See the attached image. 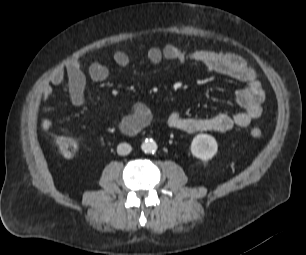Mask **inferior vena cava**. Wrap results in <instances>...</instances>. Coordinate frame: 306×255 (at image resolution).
Here are the masks:
<instances>
[{"label":"inferior vena cava","instance_id":"inferior-vena-cava-1","mask_svg":"<svg viewBox=\"0 0 306 255\" xmlns=\"http://www.w3.org/2000/svg\"><path fill=\"white\" fill-rule=\"evenodd\" d=\"M132 150L131 145L127 144V143H120L117 146V153L119 155H128Z\"/></svg>","mask_w":306,"mask_h":255}]
</instances>
